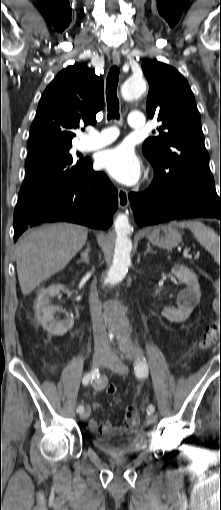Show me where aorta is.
Here are the masks:
<instances>
[{
    "instance_id": "obj_1",
    "label": "aorta",
    "mask_w": 221,
    "mask_h": 510,
    "mask_svg": "<svg viewBox=\"0 0 221 510\" xmlns=\"http://www.w3.org/2000/svg\"><path fill=\"white\" fill-rule=\"evenodd\" d=\"M145 91L146 82L143 78L131 77L121 87V94L125 100L139 98ZM114 227L116 232L115 248L112 264L103 281L105 288H111L120 283L125 278L131 264L132 241L129 234L132 228L129 224L127 212L116 217ZM106 319L108 324L126 339L129 331L128 322L124 313L116 304H109L106 307Z\"/></svg>"
}]
</instances>
